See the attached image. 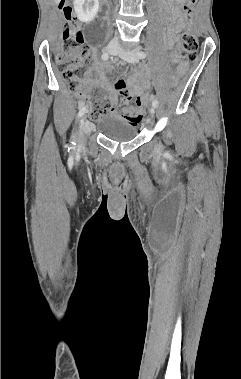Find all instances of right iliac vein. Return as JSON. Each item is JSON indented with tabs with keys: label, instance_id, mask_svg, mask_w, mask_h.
<instances>
[{
	"label": "right iliac vein",
	"instance_id": "63e3f726",
	"mask_svg": "<svg viewBox=\"0 0 241 379\" xmlns=\"http://www.w3.org/2000/svg\"><path fill=\"white\" fill-rule=\"evenodd\" d=\"M107 50L110 54L115 55L118 52V44L115 42H111L107 46ZM91 131V125L88 121H85V118L83 117L80 121V127L77 135V142L79 144H83L86 136L90 133Z\"/></svg>",
	"mask_w": 241,
	"mask_h": 379
}]
</instances>
